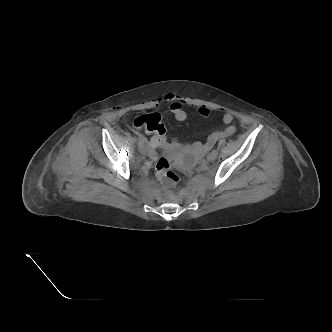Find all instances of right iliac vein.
<instances>
[{"label":"right iliac vein","instance_id":"obj_1","mask_svg":"<svg viewBox=\"0 0 332 332\" xmlns=\"http://www.w3.org/2000/svg\"><path fill=\"white\" fill-rule=\"evenodd\" d=\"M138 149L140 152H144L145 150V143L141 140L138 141Z\"/></svg>","mask_w":332,"mask_h":332}]
</instances>
